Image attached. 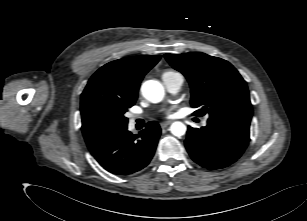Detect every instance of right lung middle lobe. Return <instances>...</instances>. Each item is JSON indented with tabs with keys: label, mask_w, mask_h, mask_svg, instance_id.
Wrapping results in <instances>:
<instances>
[{
	"label": "right lung middle lobe",
	"mask_w": 307,
	"mask_h": 221,
	"mask_svg": "<svg viewBox=\"0 0 307 221\" xmlns=\"http://www.w3.org/2000/svg\"><path fill=\"white\" fill-rule=\"evenodd\" d=\"M135 101L95 95L87 102L86 128L96 140H103L117 131L125 129L128 119L124 114Z\"/></svg>",
	"instance_id": "obj_1"
}]
</instances>
